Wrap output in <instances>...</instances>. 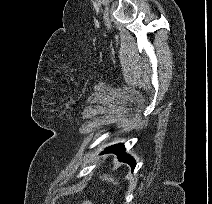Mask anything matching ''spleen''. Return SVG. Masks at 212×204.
<instances>
[{"label": "spleen", "mask_w": 212, "mask_h": 204, "mask_svg": "<svg viewBox=\"0 0 212 204\" xmlns=\"http://www.w3.org/2000/svg\"><path fill=\"white\" fill-rule=\"evenodd\" d=\"M100 178H101L102 180L111 182V183H113L114 185H117V184H118V182L115 181V179H114L112 176L110 177V176L104 174L103 176H100Z\"/></svg>", "instance_id": "3e777b00"}]
</instances>
